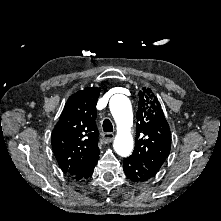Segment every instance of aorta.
Listing matches in <instances>:
<instances>
[{"instance_id": "obj_1", "label": "aorta", "mask_w": 221, "mask_h": 221, "mask_svg": "<svg viewBox=\"0 0 221 221\" xmlns=\"http://www.w3.org/2000/svg\"><path fill=\"white\" fill-rule=\"evenodd\" d=\"M109 106L117 124V135L113 144L114 150L120 156H129L133 148V137L130 133L133 124L131 103L126 96L116 94L111 98Z\"/></svg>"}]
</instances>
